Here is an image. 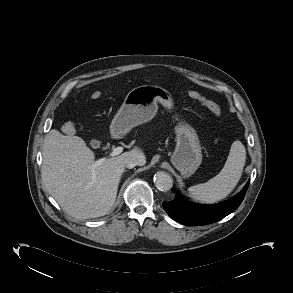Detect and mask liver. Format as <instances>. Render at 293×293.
<instances>
[{"mask_svg": "<svg viewBox=\"0 0 293 293\" xmlns=\"http://www.w3.org/2000/svg\"><path fill=\"white\" fill-rule=\"evenodd\" d=\"M42 156V179L49 194L76 219L101 217L110 211L126 157L136 158L140 166L146 163L144 153L136 147L117 157L99 159L102 163L95 167V154L83 139L55 129L44 139Z\"/></svg>", "mask_w": 293, "mask_h": 293, "instance_id": "6515ba94", "label": "liver"}]
</instances>
